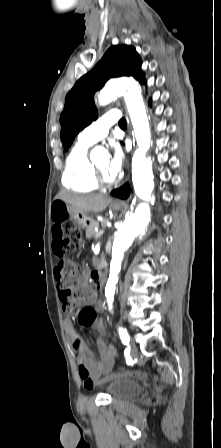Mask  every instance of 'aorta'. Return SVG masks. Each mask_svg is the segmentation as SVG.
I'll list each match as a JSON object with an SVG mask.
<instances>
[{
  "mask_svg": "<svg viewBox=\"0 0 221 448\" xmlns=\"http://www.w3.org/2000/svg\"><path fill=\"white\" fill-rule=\"evenodd\" d=\"M123 95L129 112L138 149L132 158V182L136 195L146 202L151 199L154 189L152 162L146 158V152L151 144V132L146 114L145 105L138 83L133 79H118L105 85L100 91L98 102L107 105L118 96ZM101 147L91 152V159L103 153ZM150 220V207L148 203H140L118 229L112 245L110 259L109 281L117 279L121 263L133 239L142 233Z\"/></svg>",
  "mask_w": 221,
  "mask_h": 448,
  "instance_id": "obj_1",
  "label": "aorta"
}]
</instances>
